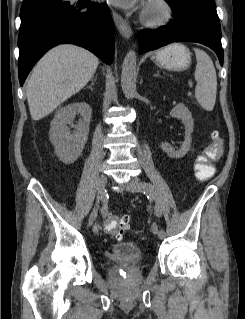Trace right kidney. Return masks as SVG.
I'll return each instance as SVG.
<instances>
[{
  "mask_svg": "<svg viewBox=\"0 0 245 319\" xmlns=\"http://www.w3.org/2000/svg\"><path fill=\"white\" fill-rule=\"evenodd\" d=\"M77 114L82 117L74 126L71 133L67 123L71 122ZM92 116L91 107L85 102L71 103L57 111L51 122L49 138L55 147V154L65 164L76 161L85 147L88 139L89 124Z\"/></svg>",
  "mask_w": 245,
  "mask_h": 319,
  "instance_id": "1",
  "label": "right kidney"
}]
</instances>
